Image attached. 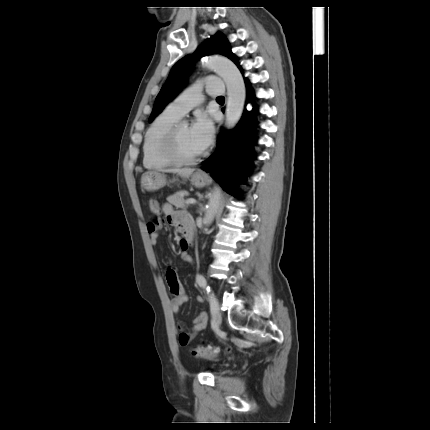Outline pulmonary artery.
<instances>
[{
  "label": "pulmonary artery",
  "instance_id": "1",
  "mask_svg": "<svg viewBox=\"0 0 430 430\" xmlns=\"http://www.w3.org/2000/svg\"><path fill=\"white\" fill-rule=\"evenodd\" d=\"M210 96L223 94V84L220 80L209 78L200 80L187 87L173 102L169 104L167 109L182 117L196 106H199L204 99L203 92Z\"/></svg>",
  "mask_w": 430,
  "mask_h": 430
}]
</instances>
